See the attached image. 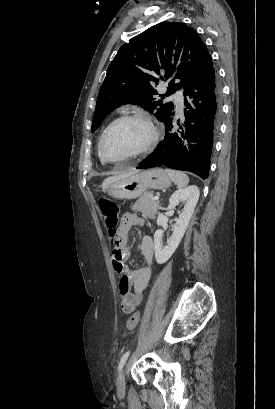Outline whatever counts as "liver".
<instances>
[{
	"instance_id": "obj_1",
	"label": "liver",
	"mask_w": 275,
	"mask_h": 409,
	"mask_svg": "<svg viewBox=\"0 0 275 409\" xmlns=\"http://www.w3.org/2000/svg\"><path fill=\"white\" fill-rule=\"evenodd\" d=\"M135 172H139V170H130V172H123V174H114V176H108V178H105V180H103L101 186L103 190H106L108 184H111V182H114V180L125 178V176H131V174H135Z\"/></svg>"
}]
</instances>
